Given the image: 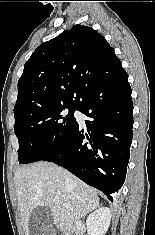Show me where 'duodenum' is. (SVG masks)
<instances>
[{"label":"duodenum","instance_id":"obj_1","mask_svg":"<svg viewBox=\"0 0 155 235\" xmlns=\"http://www.w3.org/2000/svg\"><path fill=\"white\" fill-rule=\"evenodd\" d=\"M62 230H63L64 235H81L77 226H74V225H66L63 227Z\"/></svg>","mask_w":155,"mask_h":235}]
</instances>
